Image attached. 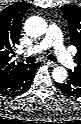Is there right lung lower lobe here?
I'll list each match as a JSON object with an SVG mask.
<instances>
[{
	"label": "right lung lower lobe",
	"mask_w": 81,
	"mask_h": 124,
	"mask_svg": "<svg viewBox=\"0 0 81 124\" xmlns=\"http://www.w3.org/2000/svg\"><path fill=\"white\" fill-rule=\"evenodd\" d=\"M39 63L24 65L8 81L0 84V94L7 97H14L25 92L35 76Z\"/></svg>",
	"instance_id": "right-lung-lower-lobe-1"
}]
</instances>
